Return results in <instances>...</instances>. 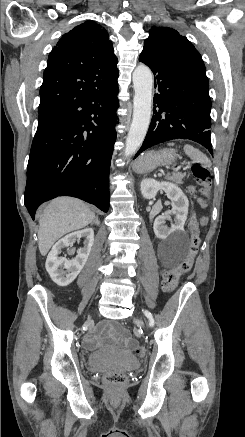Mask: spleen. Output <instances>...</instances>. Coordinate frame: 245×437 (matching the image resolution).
<instances>
[{
    "label": "spleen",
    "mask_w": 245,
    "mask_h": 437,
    "mask_svg": "<svg viewBox=\"0 0 245 437\" xmlns=\"http://www.w3.org/2000/svg\"><path fill=\"white\" fill-rule=\"evenodd\" d=\"M169 146H174V143H168ZM185 153L194 161L200 163H207L208 158L199 150L194 148L192 145L186 144L184 145Z\"/></svg>",
    "instance_id": "spleen-1"
}]
</instances>
